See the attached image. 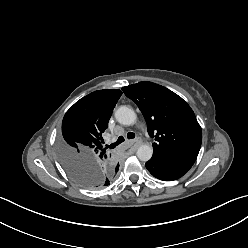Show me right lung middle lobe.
Segmentation results:
<instances>
[{
  "mask_svg": "<svg viewBox=\"0 0 248 248\" xmlns=\"http://www.w3.org/2000/svg\"><path fill=\"white\" fill-rule=\"evenodd\" d=\"M58 151L64 169L76 183L88 188H96L104 183L105 174L97 166L75 155L69 158L63 155V137L59 140Z\"/></svg>",
  "mask_w": 248,
  "mask_h": 248,
  "instance_id": "obj_1",
  "label": "right lung middle lobe"
}]
</instances>
